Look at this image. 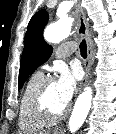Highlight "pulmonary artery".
Returning <instances> with one entry per match:
<instances>
[{"label": "pulmonary artery", "instance_id": "pulmonary-artery-1", "mask_svg": "<svg viewBox=\"0 0 116 134\" xmlns=\"http://www.w3.org/2000/svg\"><path fill=\"white\" fill-rule=\"evenodd\" d=\"M76 51V44L74 42H68L59 46L56 51L58 57H66Z\"/></svg>", "mask_w": 116, "mask_h": 134}]
</instances>
